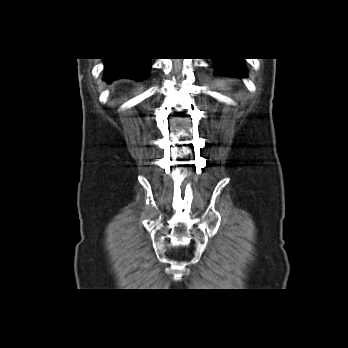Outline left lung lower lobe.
Segmentation results:
<instances>
[{
	"label": "left lung lower lobe",
	"instance_id": "obj_1",
	"mask_svg": "<svg viewBox=\"0 0 348 348\" xmlns=\"http://www.w3.org/2000/svg\"><path fill=\"white\" fill-rule=\"evenodd\" d=\"M214 60L219 68V75L231 77L245 76L246 69L243 58H215Z\"/></svg>",
	"mask_w": 348,
	"mask_h": 348
}]
</instances>
